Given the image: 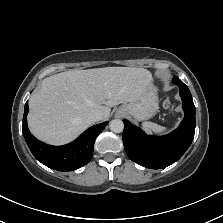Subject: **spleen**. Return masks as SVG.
Listing matches in <instances>:
<instances>
[{
  "label": "spleen",
  "mask_w": 223,
  "mask_h": 223,
  "mask_svg": "<svg viewBox=\"0 0 223 223\" xmlns=\"http://www.w3.org/2000/svg\"><path fill=\"white\" fill-rule=\"evenodd\" d=\"M141 129L148 136H152L153 134L160 136V135H163L169 131V129L167 127H162L156 123H152L149 121L142 122Z\"/></svg>",
  "instance_id": "spleen-1"
}]
</instances>
